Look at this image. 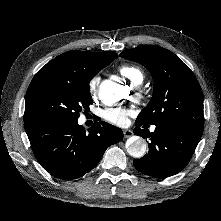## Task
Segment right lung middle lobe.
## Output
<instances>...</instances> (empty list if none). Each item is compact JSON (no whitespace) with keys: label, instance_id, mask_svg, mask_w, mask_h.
I'll return each instance as SVG.
<instances>
[{"label":"right lung middle lobe","instance_id":"dd1d6c3e","mask_svg":"<svg viewBox=\"0 0 221 221\" xmlns=\"http://www.w3.org/2000/svg\"><path fill=\"white\" fill-rule=\"evenodd\" d=\"M99 71L84 75L36 74L26 95L24 124L77 121L80 112L89 110L93 103L89 82Z\"/></svg>","mask_w":221,"mask_h":221}]
</instances>
